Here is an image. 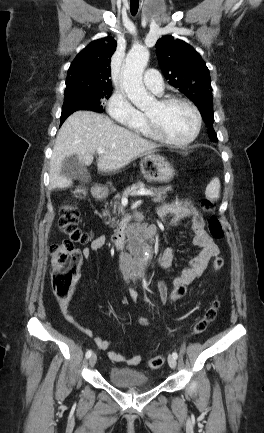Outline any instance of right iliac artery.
<instances>
[{
  "label": "right iliac artery",
  "mask_w": 264,
  "mask_h": 433,
  "mask_svg": "<svg viewBox=\"0 0 264 433\" xmlns=\"http://www.w3.org/2000/svg\"><path fill=\"white\" fill-rule=\"evenodd\" d=\"M92 355V351L91 350H88L87 352H86V358L88 359V358H90V356Z\"/></svg>",
  "instance_id": "right-iliac-artery-1"
}]
</instances>
